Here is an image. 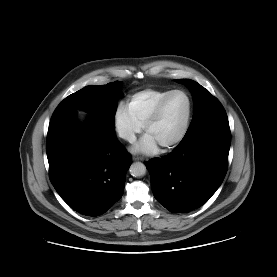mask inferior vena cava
Wrapping results in <instances>:
<instances>
[{"instance_id":"inferior-vena-cava-1","label":"inferior vena cava","mask_w":277,"mask_h":277,"mask_svg":"<svg viewBox=\"0 0 277 277\" xmlns=\"http://www.w3.org/2000/svg\"><path fill=\"white\" fill-rule=\"evenodd\" d=\"M119 136L127 141H129L130 143H133L136 141V137L134 135V133L126 131V130H121L119 132Z\"/></svg>"}]
</instances>
